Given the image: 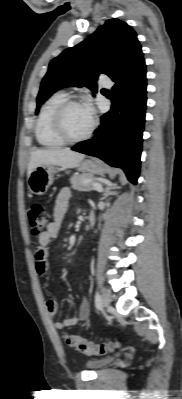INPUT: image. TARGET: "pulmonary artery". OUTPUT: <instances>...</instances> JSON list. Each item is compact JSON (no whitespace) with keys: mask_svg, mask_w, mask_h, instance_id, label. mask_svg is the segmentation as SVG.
Returning <instances> with one entry per match:
<instances>
[{"mask_svg":"<svg viewBox=\"0 0 182 399\" xmlns=\"http://www.w3.org/2000/svg\"><path fill=\"white\" fill-rule=\"evenodd\" d=\"M101 85L107 88H110L112 86V81L110 79H105L101 81Z\"/></svg>","mask_w":182,"mask_h":399,"instance_id":"e3ab8cb5","label":"pulmonary artery"}]
</instances>
